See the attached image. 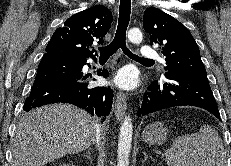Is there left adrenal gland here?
<instances>
[{
    "instance_id": "obj_1",
    "label": "left adrenal gland",
    "mask_w": 231,
    "mask_h": 166,
    "mask_svg": "<svg viewBox=\"0 0 231 166\" xmlns=\"http://www.w3.org/2000/svg\"><path fill=\"white\" fill-rule=\"evenodd\" d=\"M143 155H144L143 163H144L148 158H151V159H152V156H148V154H147L146 152H143Z\"/></svg>"
}]
</instances>
